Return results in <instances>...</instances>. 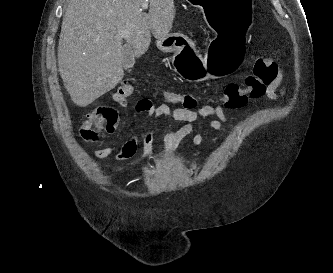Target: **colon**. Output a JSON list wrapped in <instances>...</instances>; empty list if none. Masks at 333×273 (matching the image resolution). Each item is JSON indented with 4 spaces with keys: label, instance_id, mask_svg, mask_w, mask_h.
<instances>
[{
    "label": "colon",
    "instance_id": "obj_1",
    "mask_svg": "<svg viewBox=\"0 0 333 273\" xmlns=\"http://www.w3.org/2000/svg\"><path fill=\"white\" fill-rule=\"evenodd\" d=\"M277 62L273 56L265 55L256 59L253 72L246 77L241 84L231 83L227 85L223 93L218 97H202L190 92L164 91V99L171 104H178L185 109H193L200 103L204 106L224 107L227 109H239L243 107L249 98L261 97L267 86L273 81L277 72ZM135 91L134 81L125 79L117 93L129 97ZM118 123L117 112L107 106H100L90 112L80 128V135L87 141H96L105 133L116 127Z\"/></svg>",
    "mask_w": 333,
    "mask_h": 273
}]
</instances>
